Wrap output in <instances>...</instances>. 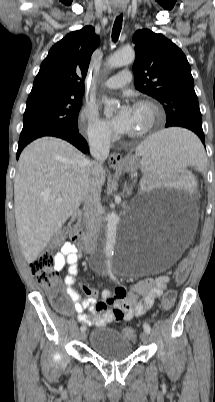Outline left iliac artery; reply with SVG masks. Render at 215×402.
<instances>
[{"label": "left iliac artery", "mask_w": 215, "mask_h": 402, "mask_svg": "<svg viewBox=\"0 0 215 402\" xmlns=\"http://www.w3.org/2000/svg\"><path fill=\"white\" fill-rule=\"evenodd\" d=\"M143 329H144V331H146L147 333H150L151 332V327H150V325L148 324V323H144L143 324Z\"/></svg>", "instance_id": "1"}]
</instances>
